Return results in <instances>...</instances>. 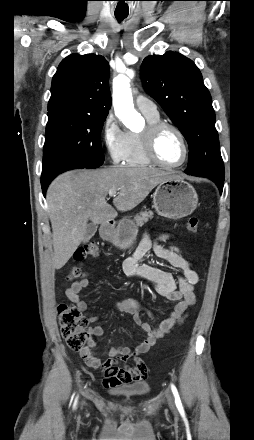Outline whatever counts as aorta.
I'll list each match as a JSON object with an SVG mask.
<instances>
[{
  "label": "aorta",
  "mask_w": 254,
  "mask_h": 440,
  "mask_svg": "<svg viewBox=\"0 0 254 440\" xmlns=\"http://www.w3.org/2000/svg\"><path fill=\"white\" fill-rule=\"evenodd\" d=\"M113 106L115 115L128 129L142 127L144 120L134 109L130 79L125 75L120 74L113 79Z\"/></svg>",
  "instance_id": "obj_1"
}]
</instances>
